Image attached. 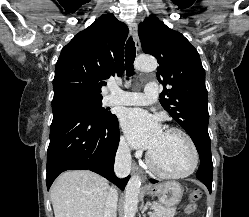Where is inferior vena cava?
Returning a JSON list of instances; mask_svg holds the SVG:
<instances>
[{
	"mask_svg": "<svg viewBox=\"0 0 249 217\" xmlns=\"http://www.w3.org/2000/svg\"><path fill=\"white\" fill-rule=\"evenodd\" d=\"M131 170V153L128 144L121 141L116 153L114 172L117 177L124 178ZM118 193L113 187L110 188L104 208L103 217H116Z\"/></svg>",
	"mask_w": 249,
	"mask_h": 217,
	"instance_id": "1",
	"label": "inferior vena cava"
}]
</instances>
